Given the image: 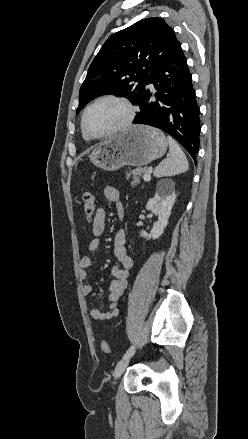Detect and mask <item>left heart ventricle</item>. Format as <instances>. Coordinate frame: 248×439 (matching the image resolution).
<instances>
[{
	"label": "left heart ventricle",
	"mask_w": 248,
	"mask_h": 439,
	"mask_svg": "<svg viewBox=\"0 0 248 439\" xmlns=\"http://www.w3.org/2000/svg\"><path fill=\"white\" fill-rule=\"evenodd\" d=\"M126 109L114 101H103L93 106L86 116V129L95 135L106 133L121 125Z\"/></svg>",
	"instance_id": "obj_1"
}]
</instances>
